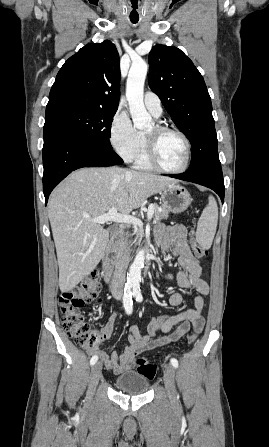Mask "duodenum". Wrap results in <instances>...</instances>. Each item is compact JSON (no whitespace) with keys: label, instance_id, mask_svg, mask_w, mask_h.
<instances>
[{"label":"duodenum","instance_id":"obj_1","mask_svg":"<svg viewBox=\"0 0 269 447\" xmlns=\"http://www.w3.org/2000/svg\"><path fill=\"white\" fill-rule=\"evenodd\" d=\"M123 236V230L122 229H117L102 258V275L103 278L106 282H109L113 279L114 275H115V271L117 268V263H116V253H117V249L119 246V243L122 239ZM150 267V263L149 261L146 262L145 267H144V272L147 273Z\"/></svg>","mask_w":269,"mask_h":447}]
</instances>
